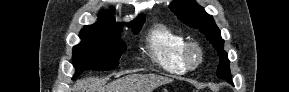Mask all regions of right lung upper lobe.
<instances>
[{
  "label": "right lung upper lobe",
  "instance_id": "cb5924a9",
  "mask_svg": "<svg viewBox=\"0 0 289 92\" xmlns=\"http://www.w3.org/2000/svg\"><path fill=\"white\" fill-rule=\"evenodd\" d=\"M145 16L137 17L133 22L129 23L132 28L137 27L138 25L144 23ZM85 29H95V30H103V31H117L121 30L122 26L119 23L115 22V19L109 10H102L101 13L98 14V22L84 26Z\"/></svg>",
  "mask_w": 289,
  "mask_h": 92
}]
</instances>
